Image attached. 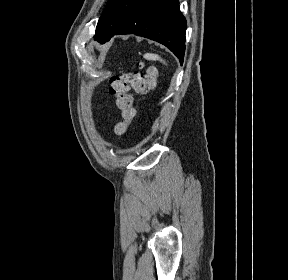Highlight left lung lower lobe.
<instances>
[{
  "label": "left lung lower lobe",
  "instance_id": "0a47b994",
  "mask_svg": "<svg viewBox=\"0 0 288 280\" xmlns=\"http://www.w3.org/2000/svg\"><path fill=\"white\" fill-rule=\"evenodd\" d=\"M185 32L186 19L180 12L178 0H142L114 35L135 34L157 41L170 49L182 64Z\"/></svg>",
  "mask_w": 288,
  "mask_h": 280
}]
</instances>
